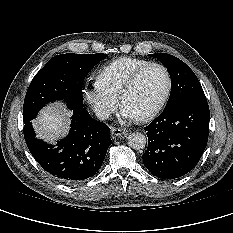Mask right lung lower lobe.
Segmentation results:
<instances>
[{"instance_id": "98d812e1", "label": "right lung lower lobe", "mask_w": 233, "mask_h": 233, "mask_svg": "<svg viewBox=\"0 0 233 233\" xmlns=\"http://www.w3.org/2000/svg\"><path fill=\"white\" fill-rule=\"evenodd\" d=\"M71 109L70 132L56 146L37 139L30 121L24 125L25 141L35 160L64 183H78L93 176L112 143L105 123L94 120L83 106Z\"/></svg>"}]
</instances>
